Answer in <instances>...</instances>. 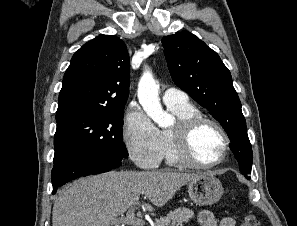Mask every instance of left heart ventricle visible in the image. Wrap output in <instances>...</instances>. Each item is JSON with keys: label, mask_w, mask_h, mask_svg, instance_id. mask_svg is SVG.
I'll use <instances>...</instances> for the list:
<instances>
[{"label": "left heart ventricle", "mask_w": 297, "mask_h": 226, "mask_svg": "<svg viewBox=\"0 0 297 226\" xmlns=\"http://www.w3.org/2000/svg\"><path fill=\"white\" fill-rule=\"evenodd\" d=\"M223 145V136L211 124L199 126L191 137V152L201 163H210L218 159Z\"/></svg>", "instance_id": "1"}]
</instances>
